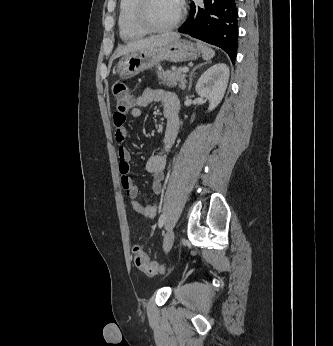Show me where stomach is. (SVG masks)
Instances as JSON below:
<instances>
[{
  "instance_id": "0dacf381",
  "label": "stomach",
  "mask_w": 333,
  "mask_h": 346,
  "mask_svg": "<svg viewBox=\"0 0 333 346\" xmlns=\"http://www.w3.org/2000/svg\"><path fill=\"white\" fill-rule=\"evenodd\" d=\"M201 50L198 45L184 39L167 45L125 54L117 63L116 73L121 79H129L151 69L161 61L182 62L197 59Z\"/></svg>"
}]
</instances>
